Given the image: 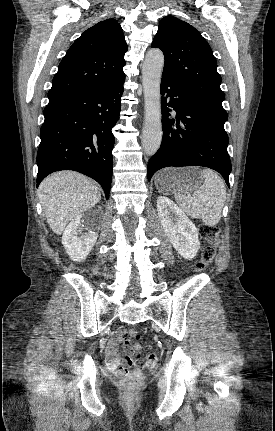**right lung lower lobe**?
<instances>
[{
  "instance_id": "1",
  "label": "right lung lower lobe",
  "mask_w": 275,
  "mask_h": 431,
  "mask_svg": "<svg viewBox=\"0 0 275 431\" xmlns=\"http://www.w3.org/2000/svg\"><path fill=\"white\" fill-rule=\"evenodd\" d=\"M123 83L98 91L49 100L37 153V186L50 173L74 170L96 180L109 198Z\"/></svg>"
}]
</instances>
